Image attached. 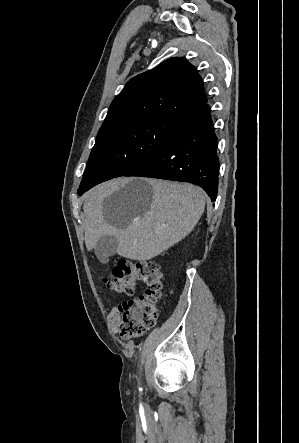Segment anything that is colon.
I'll return each mask as SVG.
<instances>
[{"instance_id": "5ec220e1", "label": "colon", "mask_w": 299, "mask_h": 443, "mask_svg": "<svg viewBox=\"0 0 299 443\" xmlns=\"http://www.w3.org/2000/svg\"><path fill=\"white\" fill-rule=\"evenodd\" d=\"M104 282L117 294L132 295L137 282L146 284V292L119 306L120 336L132 339L151 329L159 317L157 301L163 291V276L155 261L122 260L114 266Z\"/></svg>"}]
</instances>
